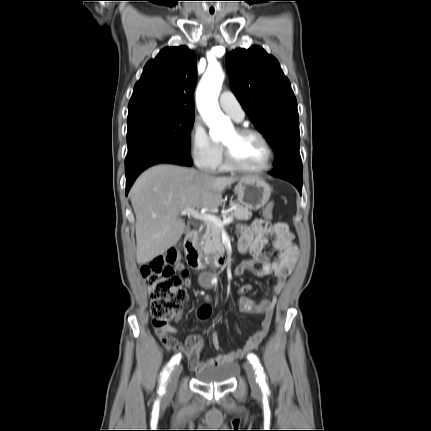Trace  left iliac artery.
Listing matches in <instances>:
<instances>
[{
	"label": "left iliac artery",
	"instance_id": "left-iliac-artery-1",
	"mask_svg": "<svg viewBox=\"0 0 431 431\" xmlns=\"http://www.w3.org/2000/svg\"><path fill=\"white\" fill-rule=\"evenodd\" d=\"M248 360L253 365V367L256 369L257 373V381L259 382V385L262 388H267L266 382H265V373L263 371V367L261 366L258 357L255 354H249Z\"/></svg>",
	"mask_w": 431,
	"mask_h": 431
}]
</instances>
